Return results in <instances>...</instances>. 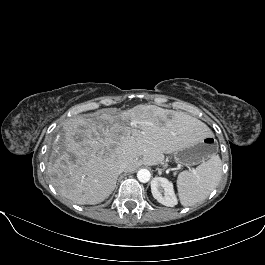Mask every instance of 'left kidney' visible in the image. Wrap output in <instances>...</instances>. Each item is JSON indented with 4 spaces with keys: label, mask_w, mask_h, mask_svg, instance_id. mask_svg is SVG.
<instances>
[{
    "label": "left kidney",
    "mask_w": 265,
    "mask_h": 265,
    "mask_svg": "<svg viewBox=\"0 0 265 265\" xmlns=\"http://www.w3.org/2000/svg\"><path fill=\"white\" fill-rule=\"evenodd\" d=\"M151 192L159 203L167 207H173L178 203L173 184L166 178L155 177L151 182ZM162 192H164V195H162Z\"/></svg>",
    "instance_id": "1"
}]
</instances>
